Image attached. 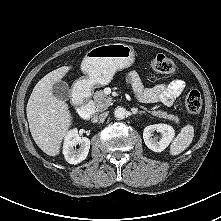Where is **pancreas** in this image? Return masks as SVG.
I'll return each instance as SVG.
<instances>
[{
    "instance_id": "obj_1",
    "label": "pancreas",
    "mask_w": 221,
    "mask_h": 221,
    "mask_svg": "<svg viewBox=\"0 0 221 221\" xmlns=\"http://www.w3.org/2000/svg\"><path fill=\"white\" fill-rule=\"evenodd\" d=\"M93 98H94V103H95L98 111H104L110 105H112V101H113L112 98L108 97L102 90L96 91L94 93ZM140 108L151 113L153 116L168 119V120L174 121L176 124H179V118L175 115L168 114L167 112L162 111V110L150 111V110H147V108H145L144 106H140Z\"/></svg>"
}]
</instances>
